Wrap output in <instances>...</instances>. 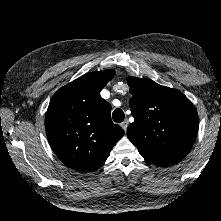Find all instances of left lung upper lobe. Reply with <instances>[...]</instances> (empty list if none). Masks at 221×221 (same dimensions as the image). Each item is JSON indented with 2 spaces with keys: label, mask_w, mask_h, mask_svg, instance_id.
Listing matches in <instances>:
<instances>
[{
  "label": "left lung upper lobe",
  "mask_w": 221,
  "mask_h": 221,
  "mask_svg": "<svg viewBox=\"0 0 221 221\" xmlns=\"http://www.w3.org/2000/svg\"><path fill=\"white\" fill-rule=\"evenodd\" d=\"M129 100L135 119L127 128L128 139L148 163L170 166L180 162L193 146L198 132V113L176 89L129 77Z\"/></svg>",
  "instance_id": "left-lung-upper-lobe-1"
}]
</instances>
